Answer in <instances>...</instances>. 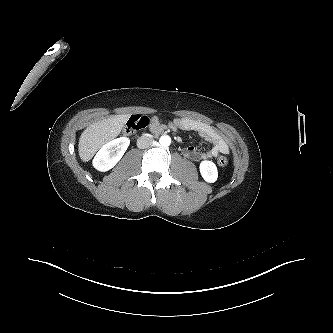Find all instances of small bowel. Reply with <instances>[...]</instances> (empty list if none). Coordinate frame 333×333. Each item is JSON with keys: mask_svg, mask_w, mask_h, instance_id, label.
I'll list each match as a JSON object with an SVG mask.
<instances>
[{"mask_svg": "<svg viewBox=\"0 0 333 333\" xmlns=\"http://www.w3.org/2000/svg\"><path fill=\"white\" fill-rule=\"evenodd\" d=\"M150 126L153 132H160L166 127L172 130L181 129L193 131L212 145V147L206 151H200L194 146H187L183 153L185 157L193 161H203L229 152V146L221 134L212 126L197 120L179 117L168 123H164L158 117H152Z\"/></svg>", "mask_w": 333, "mask_h": 333, "instance_id": "1", "label": "small bowel"}]
</instances>
